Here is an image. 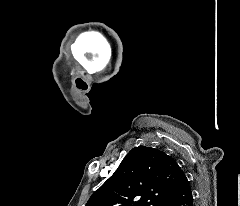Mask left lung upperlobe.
Instances as JSON below:
<instances>
[{
    "instance_id": "left-lung-upper-lobe-1",
    "label": "left lung upper lobe",
    "mask_w": 240,
    "mask_h": 206,
    "mask_svg": "<svg viewBox=\"0 0 240 206\" xmlns=\"http://www.w3.org/2000/svg\"><path fill=\"white\" fill-rule=\"evenodd\" d=\"M179 170L177 162L163 151L135 147L86 206H162Z\"/></svg>"
}]
</instances>
